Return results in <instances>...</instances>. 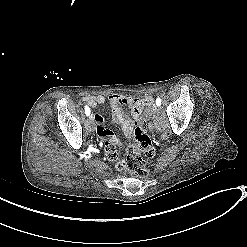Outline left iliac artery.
Wrapping results in <instances>:
<instances>
[{"instance_id": "1", "label": "left iliac artery", "mask_w": 247, "mask_h": 247, "mask_svg": "<svg viewBox=\"0 0 247 247\" xmlns=\"http://www.w3.org/2000/svg\"><path fill=\"white\" fill-rule=\"evenodd\" d=\"M156 104H157V106L161 105V99L159 97L156 99Z\"/></svg>"}]
</instances>
